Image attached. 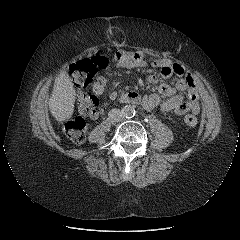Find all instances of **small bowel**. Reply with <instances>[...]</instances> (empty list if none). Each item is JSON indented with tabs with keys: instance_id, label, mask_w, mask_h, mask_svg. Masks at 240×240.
<instances>
[{
	"instance_id": "1",
	"label": "small bowel",
	"mask_w": 240,
	"mask_h": 240,
	"mask_svg": "<svg viewBox=\"0 0 240 240\" xmlns=\"http://www.w3.org/2000/svg\"><path fill=\"white\" fill-rule=\"evenodd\" d=\"M110 63L118 68L125 69H142L147 66L146 56L143 52H131L121 50L110 59ZM152 66L160 71L163 79H167L173 75L178 77L174 86L167 84H159L157 86L158 93L151 95H144L141 98V105L148 111H153L160 107L164 113L172 112L176 115H184L190 112L192 115H197L200 111L199 93L195 78L186 71V69L170 60H155ZM151 81L155 78L151 77ZM106 87V79L98 77L93 83V92L101 95ZM185 93V94H179ZM161 96L169 97L166 101L161 100ZM118 98L117 92H111L108 100L102 105V108L90 115L92 119H97L101 116L104 109L108 106L109 102Z\"/></svg>"
}]
</instances>
